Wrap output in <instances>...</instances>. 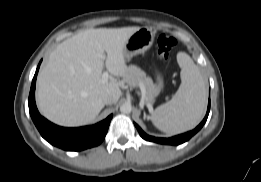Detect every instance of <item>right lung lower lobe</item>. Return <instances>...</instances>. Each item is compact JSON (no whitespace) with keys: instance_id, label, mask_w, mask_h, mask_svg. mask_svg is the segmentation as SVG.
<instances>
[{"instance_id":"98d812e1","label":"right lung lower lobe","mask_w":261,"mask_h":182,"mask_svg":"<svg viewBox=\"0 0 261 182\" xmlns=\"http://www.w3.org/2000/svg\"><path fill=\"white\" fill-rule=\"evenodd\" d=\"M40 63L32 81L28 104L31 118L41 136L50 144L67 151H80L99 145L105 138L113 115L92 126L64 128L49 122L39 114L35 104V84Z\"/></svg>"}]
</instances>
